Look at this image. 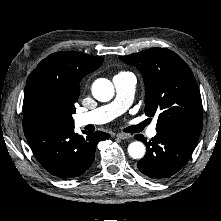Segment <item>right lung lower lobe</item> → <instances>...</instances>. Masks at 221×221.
I'll use <instances>...</instances> for the list:
<instances>
[{"label":"right lung lower lobe","instance_id":"1","mask_svg":"<svg viewBox=\"0 0 221 221\" xmlns=\"http://www.w3.org/2000/svg\"><path fill=\"white\" fill-rule=\"evenodd\" d=\"M24 134L41 165L66 179L82 175L93 163L97 143L109 134L96 131L79 135L74 126L49 123L23 124Z\"/></svg>","mask_w":221,"mask_h":221}]
</instances>
